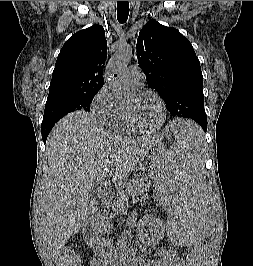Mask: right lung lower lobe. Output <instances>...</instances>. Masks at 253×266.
<instances>
[{
	"instance_id": "1",
	"label": "right lung lower lobe",
	"mask_w": 253,
	"mask_h": 266,
	"mask_svg": "<svg viewBox=\"0 0 253 266\" xmlns=\"http://www.w3.org/2000/svg\"><path fill=\"white\" fill-rule=\"evenodd\" d=\"M54 125H51V126H47L45 128H42L41 127V132H42V138H43V142L46 143V139H47V136L50 132V130L53 128Z\"/></svg>"
}]
</instances>
